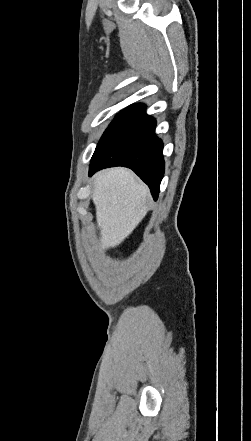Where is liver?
I'll use <instances>...</instances> for the list:
<instances>
[{"mask_svg":"<svg viewBox=\"0 0 251 441\" xmlns=\"http://www.w3.org/2000/svg\"><path fill=\"white\" fill-rule=\"evenodd\" d=\"M148 187L126 168H111L95 175L92 200L102 249L118 246L147 214Z\"/></svg>","mask_w":251,"mask_h":441,"instance_id":"6515ba94","label":"liver"}]
</instances>
